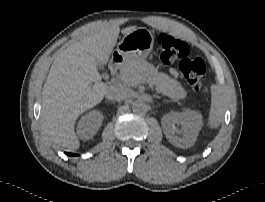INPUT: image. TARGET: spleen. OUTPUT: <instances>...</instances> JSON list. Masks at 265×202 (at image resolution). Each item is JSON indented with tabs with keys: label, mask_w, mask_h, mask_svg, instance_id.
<instances>
[{
	"label": "spleen",
	"mask_w": 265,
	"mask_h": 202,
	"mask_svg": "<svg viewBox=\"0 0 265 202\" xmlns=\"http://www.w3.org/2000/svg\"><path fill=\"white\" fill-rule=\"evenodd\" d=\"M211 109L209 112L207 126L211 129L217 128L224 117L223 99L219 87L216 85L211 86Z\"/></svg>",
	"instance_id": "1"
}]
</instances>
